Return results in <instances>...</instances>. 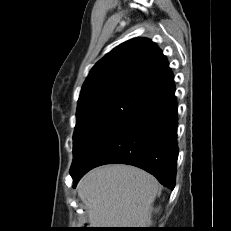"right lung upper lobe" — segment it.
I'll list each match as a JSON object with an SVG mask.
<instances>
[{"instance_id":"1","label":"right lung upper lobe","mask_w":231,"mask_h":231,"mask_svg":"<svg viewBox=\"0 0 231 231\" xmlns=\"http://www.w3.org/2000/svg\"><path fill=\"white\" fill-rule=\"evenodd\" d=\"M174 90L173 73L162 51L149 39L135 38L120 44L93 66L82 86L77 109L112 94H131L148 101Z\"/></svg>"}]
</instances>
